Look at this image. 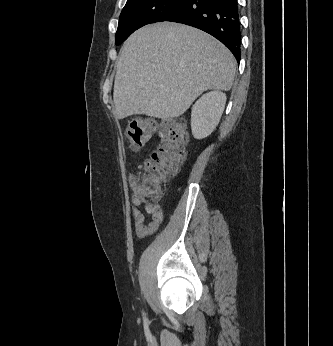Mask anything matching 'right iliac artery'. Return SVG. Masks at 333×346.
I'll list each match as a JSON object with an SVG mask.
<instances>
[{"mask_svg": "<svg viewBox=\"0 0 333 346\" xmlns=\"http://www.w3.org/2000/svg\"><path fill=\"white\" fill-rule=\"evenodd\" d=\"M148 324V320H147V318L146 317H144V325H145V328H147V325Z\"/></svg>", "mask_w": 333, "mask_h": 346, "instance_id": "right-iliac-artery-1", "label": "right iliac artery"}]
</instances>
